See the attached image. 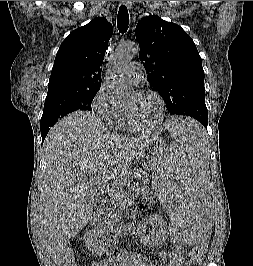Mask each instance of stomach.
I'll use <instances>...</instances> for the list:
<instances>
[{
  "label": "stomach",
  "instance_id": "1",
  "mask_svg": "<svg viewBox=\"0 0 253 266\" xmlns=\"http://www.w3.org/2000/svg\"><path fill=\"white\" fill-rule=\"evenodd\" d=\"M163 150H168L165 141L159 138L152 139L138 158L141 166L154 173V160H160Z\"/></svg>",
  "mask_w": 253,
  "mask_h": 266
}]
</instances>
